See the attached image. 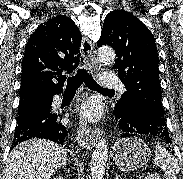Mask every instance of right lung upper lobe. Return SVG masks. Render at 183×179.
<instances>
[{"mask_svg": "<svg viewBox=\"0 0 183 179\" xmlns=\"http://www.w3.org/2000/svg\"><path fill=\"white\" fill-rule=\"evenodd\" d=\"M81 33L75 23L59 15L40 25L26 44L22 60L21 97L62 91L66 77L79 65Z\"/></svg>", "mask_w": 183, "mask_h": 179, "instance_id": "1", "label": "right lung upper lobe"}]
</instances>
